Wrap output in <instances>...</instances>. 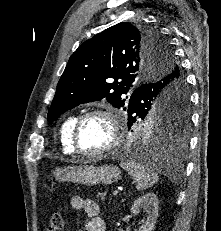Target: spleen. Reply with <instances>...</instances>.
<instances>
[{
    "label": "spleen",
    "mask_w": 221,
    "mask_h": 231,
    "mask_svg": "<svg viewBox=\"0 0 221 231\" xmlns=\"http://www.w3.org/2000/svg\"><path fill=\"white\" fill-rule=\"evenodd\" d=\"M120 166L133 178L138 191L146 190L158 182V174L141 162L126 160Z\"/></svg>",
    "instance_id": "3e777b00"
}]
</instances>
